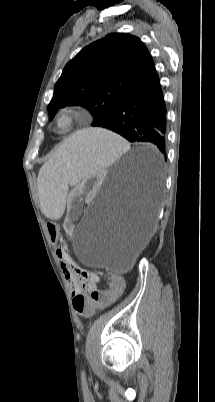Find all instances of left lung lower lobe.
Masks as SVG:
<instances>
[{"label":"left lung lower lobe","mask_w":215,"mask_h":402,"mask_svg":"<svg viewBox=\"0 0 215 402\" xmlns=\"http://www.w3.org/2000/svg\"><path fill=\"white\" fill-rule=\"evenodd\" d=\"M112 130L130 142L155 145L166 159V106L155 67L113 111L97 125ZM157 187L145 190L149 209L156 205Z\"/></svg>","instance_id":"obj_1"}]
</instances>
